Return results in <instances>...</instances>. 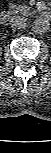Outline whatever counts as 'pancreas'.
<instances>
[{
	"instance_id": "pancreas-1",
	"label": "pancreas",
	"mask_w": 51,
	"mask_h": 153,
	"mask_svg": "<svg viewBox=\"0 0 51 153\" xmlns=\"http://www.w3.org/2000/svg\"><path fill=\"white\" fill-rule=\"evenodd\" d=\"M10 9L13 14H24L27 15L31 12V8L26 5H11Z\"/></svg>"
}]
</instances>
